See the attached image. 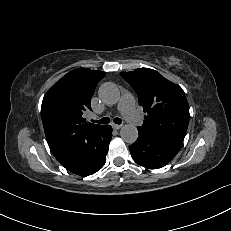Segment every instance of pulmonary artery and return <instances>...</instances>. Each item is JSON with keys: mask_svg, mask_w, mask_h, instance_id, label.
<instances>
[{"mask_svg": "<svg viewBox=\"0 0 231 231\" xmlns=\"http://www.w3.org/2000/svg\"><path fill=\"white\" fill-rule=\"evenodd\" d=\"M118 110L134 126H140L143 120L136 110L135 100L131 94H123L119 103Z\"/></svg>", "mask_w": 231, "mask_h": 231, "instance_id": "obj_1", "label": "pulmonary artery"}]
</instances>
